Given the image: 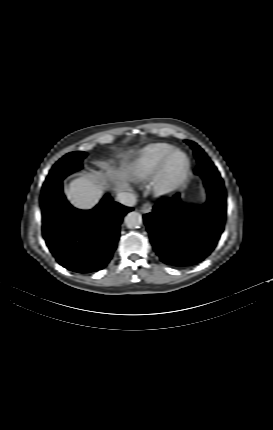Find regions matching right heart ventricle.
<instances>
[{"label":"right heart ventricle","instance_id":"e07e8e85","mask_svg":"<svg viewBox=\"0 0 273 430\" xmlns=\"http://www.w3.org/2000/svg\"><path fill=\"white\" fill-rule=\"evenodd\" d=\"M172 149L173 146L167 143H152L144 147L130 167L132 177L137 181L149 179Z\"/></svg>","mask_w":273,"mask_h":430}]
</instances>
